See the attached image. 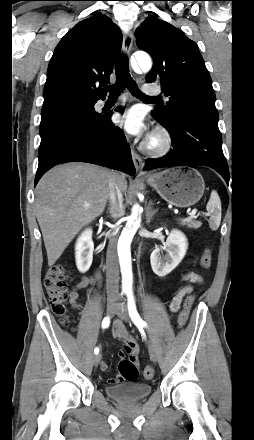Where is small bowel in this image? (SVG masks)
Listing matches in <instances>:
<instances>
[{
  "label": "small bowel",
  "mask_w": 254,
  "mask_h": 440,
  "mask_svg": "<svg viewBox=\"0 0 254 440\" xmlns=\"http://www.w3.org/2000/svg\"><path fill=\"white\" fill-rule=\"evenodd\" d=\"M183 280L187 282L186 285L181 287L173 296L170 309L172 312H177L180 309L181 302L183 297L192 291L193 284H199L202 282V277L194 272H188L184 274ZM97 285H99V277L98 275L84 277L80 281H78L70 292V303L76 309H81L82 304L77 301L78 298V290L81 288H85L90 286L91 289H94ZM112 334L115 339H117L122 348L119 352L121 357L127 355L129 359L133 360L136 364L138 363L140 348L135 340V338L128 332L124 324L120 320H115L112 327ZM108 365L106 362L101 364L102 370H107ZM121 375L118 374L115 377L109 378L108 382L110 385H115L123 382Z\"/></svg>",
  "instance_id": "obj_1"
}]
</instances>
